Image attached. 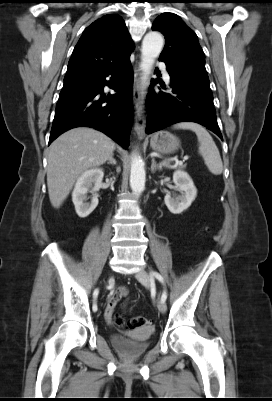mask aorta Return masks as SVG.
I'll return each mask as SVG.
<instances>
[{
    "label": "aorta",
    "mask_w": 272,
    "mask_h": 401,
    "mask_svg": "<svg viewBox=\"0 0 272 401\" xmlns=\"http://www.w3.org/2000/svg\"><path fill=\"white\" fill-rule=\"evenodd\" d=\"M164 45V38L158 32H149L145 35L141 49V70L144 83L150 74L155 59L160 55ZM146 173L140 156L134 155L131 161L130 187L135 194H141L145 189Z\"/></svg>",
    "instance_id": "aorta-1"
}]
</instances>
